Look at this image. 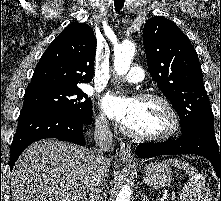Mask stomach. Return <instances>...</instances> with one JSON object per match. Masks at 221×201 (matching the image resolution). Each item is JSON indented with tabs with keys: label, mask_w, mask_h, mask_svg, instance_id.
I'll return each mask as SVG.
<instances>
[{
	"label": "stomach",
	"mask_w": 221,
	"mask_h": 201,
	"mask_svg": "<svg viewBox=\"0 0 221 201\" xmlns=\"http://www.w3.org/2000/svg\"><path fill=\"white\" fill-rule=\"evenodd\" d=\"M142 172L144 181L151 187L161 188L172 182V171L166 163H151L145 166Z\"/></svg>",
	"instance_id": "obj_1"
}]
</instances>
